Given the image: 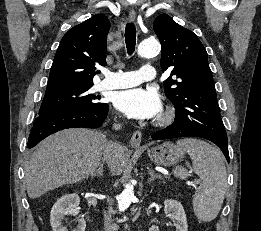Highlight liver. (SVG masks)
I'll return each mask as SVG.
<instances>
[{"mask_svg":"<svg viewBox=\"0 0 261 231\" xmlns=\"http://www.w3.org/2000/svg\"><path fill=\"white\" fill-rule=\"evenodd\" d=\"M106 145L103 134L89 129H67L49 136L25 163L28 196L36 199L49 190L89 177L99 166ZM107 164L112 174L120 175L127 164L126 149L119 145Z\"/></svg>","mask_w":261,"mask_h":231,"instance_id":"1","label":"liver"}]
</instances>
